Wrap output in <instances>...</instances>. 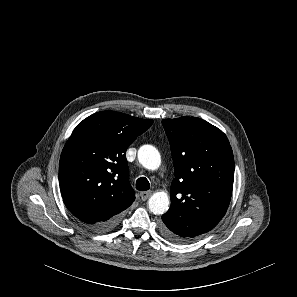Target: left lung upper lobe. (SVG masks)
Listing matches in <instances>:
<instances>
[{
  "label": "left lung upper lobe",
  "instance_id": "obj_1",
  "mask_svg": "<svg viewBox=\"0 0 297 297\" xmlns=\"http://www.w3.org/2000/svg\"><path fill=\"white\" fill-rule=\"evenodd\" d=\"M175 168L171 206L163 216L191 241L225 215L234 181V157L226 135L196 117L162 120Z\"/></svg>",
  "mask_w": 297,
  "mask_h": 297
}]
</instances>
